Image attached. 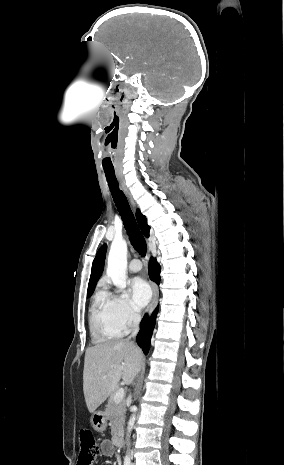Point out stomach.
Segmentation results:
<instances>
[{"label":"stomach","instance_id":"obj_1","mask_svg":"<svg viewBox=\"0 0 284 465\" xmlns=\"http://www.w3.org/2000/svg\"><path fill=\"white\" fill-rule=\"evenodd\" d=\"M90 423L94 431H97V433H103L107 427V419L103 411H95V413H92Z\"/></svg>","mask_w":284,"mask_h":465}]
</instances>
